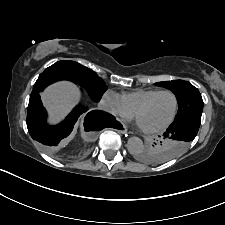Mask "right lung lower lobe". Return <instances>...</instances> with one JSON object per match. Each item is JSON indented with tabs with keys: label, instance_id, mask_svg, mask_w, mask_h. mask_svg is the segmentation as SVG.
I'll list each match as a JSON object with an SVG mask.
<instances>
[{
	"label": "right lung lower lobe",
	"instance_id": "1",
	"mask_svg": "<svg viewBox=\"0 0 225 225\" xmlns=\"http://www.w3.org/2000/svg\"><path fill=\"white\" fill-rule=\"evenodd\" d=\"M59 80L73 81L62 74L41 73L33 86L27 111V128L31 137L49 152L56 150L63 143L72 132L79 116L88 111L87 107L78 105L59 125L50 126L46 123L47 114L41 102L40 92L49 84ZM113 120L115 119L112 115L93 110L87 113L84 126L86 130H101Z\"/></svg>",
	"mask_w": 225,
	"mask_h": 225
}]
</instances>
